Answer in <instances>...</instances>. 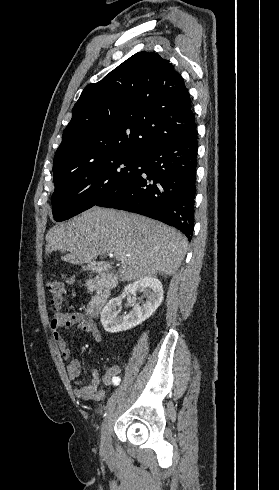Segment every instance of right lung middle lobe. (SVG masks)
I'll list each match as a JSON object with an SVG mask.
<instances>
[{
	"label": "right lung middle lobe",
	"instance_id": "dd1d6c3e",
	"mask_svg": "<svg viewBox=\"0 0 279 490\" xmlns=\"http://www.w3.org/2000/svg\"><path fill=\"white\" fill-rule=\"evenodd\" d=\"M142 157L108 153L54 177V219L67 220L106 199L142 173Z\"/></svg>",
	"mask_w": 279,
	"mask_h": 490
}]
</instances>
